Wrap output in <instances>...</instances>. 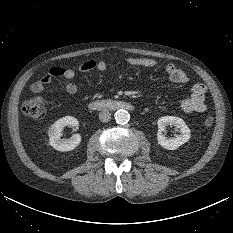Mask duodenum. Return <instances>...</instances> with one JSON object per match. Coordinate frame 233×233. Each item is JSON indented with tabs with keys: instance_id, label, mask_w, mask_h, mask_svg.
I'll use <instances>...</instances> for the list:
<instances>
[{
	"instance_id": "obj_1",
	"label": "duodenum",
	"mask_w": 233,
	"mask_h": 233,
	"mask_svg": "<svg viewBox=\"0 0 233 233\" xmlns=\"http://www.w3.org/2000/svg\"><path fill=\"white\" fill-rule=\"evenodd\" d=\"M89 107L93 110H119L133 109V106L125 101L120 100H98L90 103Z\"/></svg>"
}]
</instances>
